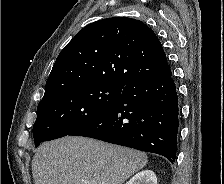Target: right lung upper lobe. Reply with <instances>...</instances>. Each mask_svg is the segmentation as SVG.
<instances>
[{
    "label": "right lung upper lobe",
    "instance_id": "right-lung-upper-lobe-1",
    "mask_svg": "<svg viewBox=\"0 0 224 184\" xmlns=\"http://www.w3.org/2000/svg\"><path fill=\"white\" fill-rule=\"evenodd\" d=\"M171 70L155 33L142 21L112 17L85 26L63 48L42 100L80 83L129 85Z\"/></svg>",
    "mask_w": 224,
    "mask_h": 184
}]
</instances>
